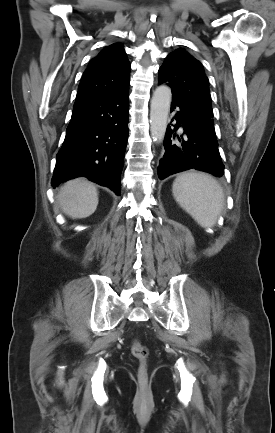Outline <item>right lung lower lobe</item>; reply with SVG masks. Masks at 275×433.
Returning <instances> with one entry per match:
<instances>
[{
  "mask_svg": "<svg viewBox=\"0 0 275 433\" xmlns=\"http://www.w3.org/2000/svg\"><path fill=\"white\" fill-rule=\"evenodd\" d=\"M128 93L101 95L74 105L52 178L60 183L86 177L120 195L128 139Z\"/></svg>",
  "mask_w": 275,
  "mask_h": 433,
  "instance_id": "right-lung-lower-lobe-1",
  "label": "right lung lower lobe"
}]
</instances>
